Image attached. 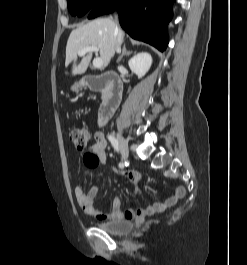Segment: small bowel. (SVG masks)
<instances>
[{"label":"small bowel","mask_w":247,"mask_h":265,"mask_svg":"<svg viewBox=\"0 0 247 265\" xmlns=\"http://www.w3.org/2000/svg\"><path fill=\"white\" fill-rule=\"evenodd\" d=\"M106 146L107 142L100 132L94 134V143L90 150L83 155L82 165L86 168H96L106 163ZM125 175L136 184V191L141 190V177L135 171H125ZM98 186L91 187L88 191H84L82 187L77 186L74 189L76 201L83 211L91 217L99 220H142L147 216L154 215L163 211L168 206L175 204L185 195V189L181 186L177 187L173 194L164 202H155L147 208L121 210V201L115 198L112 203V209L109 212L102 211L95 207V199L98 195Z\"/></svg>","instance_id":"1"}]
</instances>
